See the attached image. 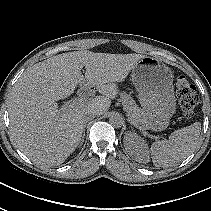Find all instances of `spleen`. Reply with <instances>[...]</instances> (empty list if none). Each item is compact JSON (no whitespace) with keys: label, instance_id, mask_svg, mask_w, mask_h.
Segmentation results:
<instances>
[{"label":"spleen","instance_id":"spleen-1","mask_svg":"<svg viewBox=\"0 0 211 211\" xmlns=\"http://www.w3.org/2000/svg\"><path fill=\"white\" fill-rule=\"evenodd\" d=\"M201 123L181 128L171 133L168 139L151 145L150 154L156 167H169L184 160L197 148Z\"/></svg>","mask_w":211,"mask_h":211}]
</instances>
